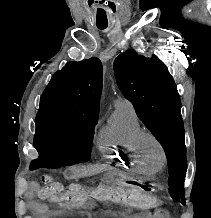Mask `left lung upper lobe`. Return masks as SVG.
I'll use <instances>...</instances> for the list:
<instances>
[{"instance_id": "5c2ea615", "label": "left lung upper lobe", "mask_w": 211, "mask_h": 218, "mask_svg": "<svg viewBox=\"0 0 211 218\" xmlns=\"http://www.w3.org/2000/svg\"><path fill=\"white\" fill-rule=\"evenodd\" d=\"M114 71L121 92L165 150L172 199L184 201L185 135L180 97L172 76L157 56L146 58L133 50L115 59Z\"/></svg>"}]
</instances>
